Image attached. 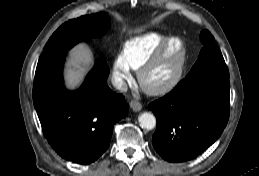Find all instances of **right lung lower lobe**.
I'll return each instance as SVG.
<instances>
[{
	"instance_id": "1",
	"label": "right lung lower lobe",
	"mask_w": 259,
	"mask_h": 176,
	"mask_svg": "<svg viewBox=\"0 0 259 176\" xmlns=\"http://www.w3.org/2000/svg\"><path fill=\"white\" fill-rule=\"evenodd\" d=\"M66 52L38 62L33 101L43 133L64 159L90 164L109 147L113 126L128 113L122 94L107 86L109 67L99 61L83 85L64 88L62 68Z\"/></svg>"
}]
</instances>
